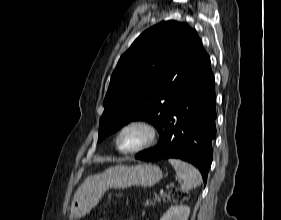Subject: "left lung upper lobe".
Masks as SVG:
<instances>
[{"label": "left lung upper lobe", "mask_w": 281, "mask_h": 220, "mask_svg": "<svg viewBox=\"0 0 281 220\" xmlns=\"http://www.w3.org/2000/svg\"><path fill=\"white\" fill-rule=\"evenodd\" d=\"M205 54L196 30L186 23L163 21L144 31L111 76L98 142L133 120H146L159 132L180 83Z\"/></svg>", "instance_id": "left-lung-upper-lobe-1"}]
</instances>
